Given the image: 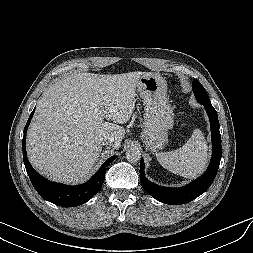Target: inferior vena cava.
I'll use <instances>...</instances> for the list:
<instances>
[{
	"mask_svg": "<svg viewBox=\"0 0 253 253\" xmlns=\"http://www.w3.org/2000/svg\"><path fill=\"white\" fill-rule=\"evenodd\" d=\"M101 142H102L103 145H111L112 142H113V139L110 138V137H106V138L103 139Z\"/></svg>",
	"mask_w": 253,
	"mask_h": 253,
	"instance_id": "602c4592",
	"label": "inferior vena cava"
}]
</instances>
